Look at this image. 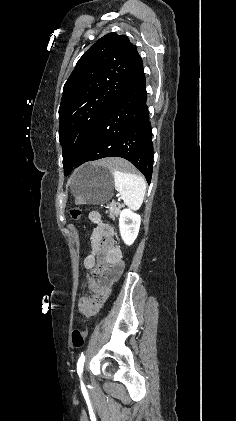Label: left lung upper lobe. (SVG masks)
Masks as SVG:
<instances>
[{"mask_svg":"<svg viewBox=\"0 0 236 421\" xmlns=\"http://www.w3.org/2000/svg\"><path fill=\"white\" fill-rule=\"evenodd\" d=\"M138 56L126 36L109 33L79 59L64 85L59 107L63 165H75L90 135L123 89Z\"/></svg>","mask_w":236,"mask_h":421,"instance_id":"1","label":"left lung upper lobe"}]
</instances>
